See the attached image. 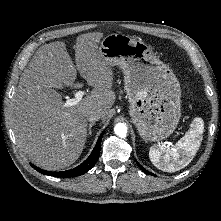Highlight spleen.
I'll list each match as a JSON object with an SVG mask.
<instances>
[{"label": "spleen", "mask_w": 221, "mask_h": 221, "mask_svg": "<svg viewBox=\"0 0 221 221\" xmlns=\"http://www.w3.org/2000/svg\"><path fill=\"white\" fill-rule=\"evenodd\" d=\"M204 132V122L194 118L192 128L174 146H152L149 150L151 162L165 172H176L186 167L196 155Z\"/></svg>", "instance_id": "spleen-1"}]
</instances>
